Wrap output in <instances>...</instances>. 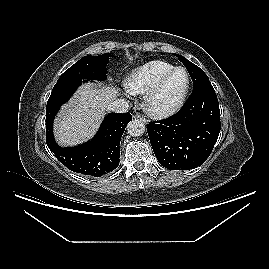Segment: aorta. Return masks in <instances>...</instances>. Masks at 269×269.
<instances>
[{"label": "aorta", "instance_id": "aorta-1", "mask_svg": "<svg viewBox=\"0 0 269 269\" xmlns=\"http://www.w3.org/2000/svg\"><path fill=\"white\" fill-rule=\"evenodd\" d=\"M145 124L139 120H132L127 125L128 133L133 137H138L143 135L145 132Z\"/></svg>", "mask_w": 269, "mask_h": 269}]
</instances>
